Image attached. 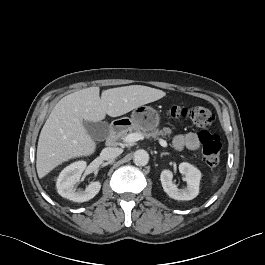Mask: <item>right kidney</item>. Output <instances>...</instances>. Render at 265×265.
Wrapping results in <instances>:
<instances>
[{
    "instance_id": "right-kidney-1",
    "label": "right kidney",
    "mask_w": 265,
    "mask_h": 265,
    "mask_svg": "<svg viewBox=\"0 0 265 265\" xmlns=\"http://www.w3.org/2000/svg\"><path fill=\"white\" fill-rule=\"evenodd\" d=\"M85 168V161H77L61 171L56 182L59 195L74 202L82 203L89 201L98 194L101 188L99 181L91 182L84 191H76L75 185L79 182Z\"/></svg>"
}]
</instances>
